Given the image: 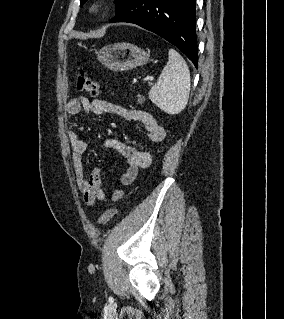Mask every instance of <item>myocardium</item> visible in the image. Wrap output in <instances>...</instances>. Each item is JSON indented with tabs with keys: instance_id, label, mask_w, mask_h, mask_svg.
Returning a JSON list of instances; mask_svg holds the SVG:
<instances>
[{
	"instance_id": "obj_1",
	"label": "myocardium",
	"mask_w": 284,
	"mask_h": 319,
	"mask_svg": "<svg viewBox=\"0 0 284 319\" xmlns=\"http://www.w3.org/2000/svg\"><path fill=\"white\" fill-rule=\"evenodd\" d=\"M108 7V2L106 0H94L89 6V12L95 17L102 16Z\"/></svg>"
}]
</instances>
